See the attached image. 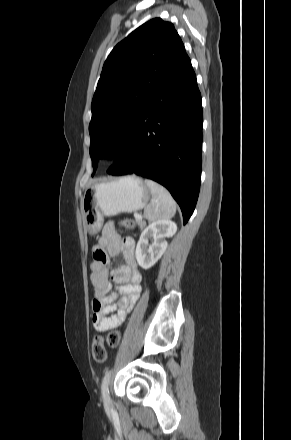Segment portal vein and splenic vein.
I'll list each match as a JSON object with an SVG mask.
<instances>
[{
	"mask_svg": "<svg viewBox=\"0 0 291 440\" xmlns=\"http://www.w3.org/2000/svg\"><path fill=\"white\" fill-rule=\"evenodd\" d=\"M134 217H135V219H138V220L142 219V216L140 214H138V213H135Z\"/></svg>",
	"mask_w": 291,
	"mask_h": 440,
	"instance_id": "1",
	"label": "portal vein and splenic vein"
}]
</instances>
